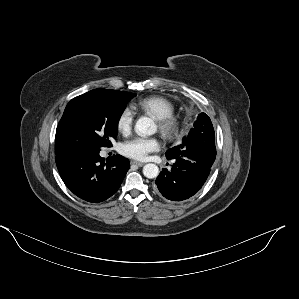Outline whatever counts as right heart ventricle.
I'll return each instance as SVG.
<instances>
[{
  "label": "right heart ventricle",
  "instance_id": "obj_1",
  "mask_svg": "<svg viewBox=\"0 0 299 299\" xmlns=\"http://www.w3.org/2000/svg\"><path fill=\"white\" fill-rule=\"evenodd\" d=\"M133 108L149 114L156 120L172 116L175 112L174 104L169 99L162 96L142 98L133 104Z\"/></svg>",
  "mask_w": 299,
  "mask_h": 299
}]
</instances>
